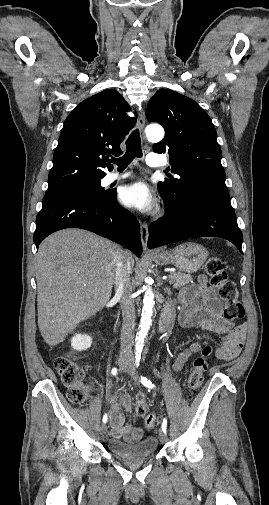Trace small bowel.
<instances>
[{
    "mask_svg": "<svg viewBox=\"0 0 269 505\" xmlns=\"http://www.w3.org/2000/svg\"><path fill=\"white\" fill-rule=\"evenodd\" d=\"M179 299L181 303L179 322L182 326L220 335L222 344L216 352L219 360L229 361L238 356L244 344L247 327L244 324L233 326L223 317L222 303L215 290L207 284L204 275L199 277L196 286L184 289ZM200 347L199 343H194L181 351L173 364V369L183 370L190 356L198 352ZM119 402L128 413H131V400L128 394L120 395ZM110 425L114 438L136 442L142 436L139 427L124 424V417L116 402L110 407Z\"/></svg>",
    "mask_w": 269,
    "mask_h": 505,
    "instance_id": "small-bowel-1",
    "label": "small bowel"
}]
</instances>
